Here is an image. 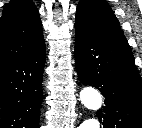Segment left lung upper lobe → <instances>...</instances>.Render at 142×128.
Wrapping results in <instances>:
<instances>
[{"mask_svg":"<svg viewBox=\"0 0 142 128\" xmlns=\"http://www.w3.org/2000/svg\"><path fill=\"white\" fill-rule=\"evenodd\" d=\"M75 25L106 41L129 46L114 12L103 0H81L76 10Z\"/></svg>","mask_w":142,"mask_h":128,"instance_id":"left-lung-upper-lobe-1","label":"left lung upper lobe"}]
</instances>
